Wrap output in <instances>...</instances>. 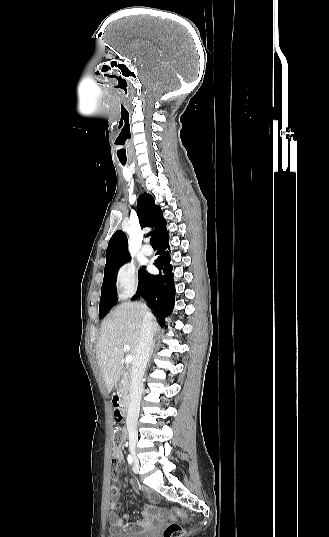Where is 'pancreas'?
<instances>
[{
    "label": "pancreas",
    "mask_w": 329,
    "mask_h": 537,
    "mask_svg": "<svg viewBox=\"0 0 329 537\" xmlns=\"http://www.w3.org/2000/svg\"><path fill=\"white\" fill-rule=\"evenodd\" d=\"M119 392L126 398H129L130 392H131V386L130 381L127 377V375L123 376L121 382L118 385Z\"/></svg>",
    "instance_id": "1"
}]
</instances>
